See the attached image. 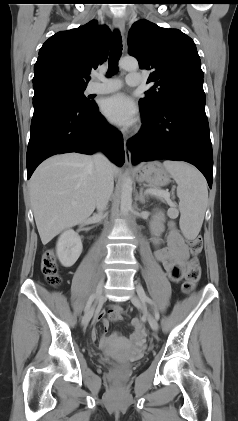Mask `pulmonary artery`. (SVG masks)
<instances>
[{"instance_id": "1", "label": "pulmonary artery", "mask_w": 238, "mask_h": 421, "mask_svg": "<svg viewBox=\"0 0 238 421\" xmlns=\"http://www.w3.org/2000/svg\"><path fill=\"white\" fill-rule=\"evenodd\" d=\"M126 83L130 86H136L141 83V75L136 72H131L126 77ZM121 81L117 78H100L95 76L87 88L88 93L91 94H105L115 92L120 89Z\"/></svg>"}]
</instances>
